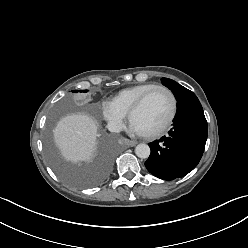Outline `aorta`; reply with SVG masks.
<instances>
[{
  "instance_id": "762f6f07",
  "label": "aorta",
  "mask_w": 248,
  "mask_h": 248,
  "mask_svg": "<svg viewBox=\"0 0 248 248\" xmlns=\"http://www.w3.org/2000/svg\"><path fill=\"white\" fill-rule=\"evenodd\" d=\"M150 147L147 144H138L135 148V154L139 157V158H143L146 159L149 157L150 155Z\"/></svg>"
}]
</instances>
